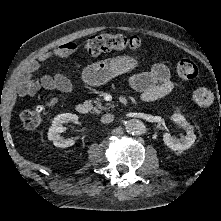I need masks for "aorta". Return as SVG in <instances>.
<instances>
[{
	"label": "aorta",
	"instance_id": "1",
	"mask_svg": "<svg viewBox=\"0 0 221 221\" xmlns=\"http://www.w3.org/2000/svg\"><path fill=\"white\" fill-rule=\"evenodd\" d=\"M125 129L129 134L141 135L144 132L145 126L141 120L129 119L125 122Z\"/></svg>",
	"mask_w": 221,
	"mask_h": 221
}]
</instances>
